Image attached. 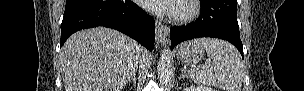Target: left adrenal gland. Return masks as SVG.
I'll return each mask as SVG.
<instances>
[{
    "mask_svg": "<svg viewBox=\"0 0 304 91\" xmlns=\"http://www.w3.org/2000/svg\"><path fill=\"white\" fill-rule=\"evenodd\" d=\"M184 78H188V76L186 75V71L183 69L180 75V79H184Z\"/></svg>",
    "mask_w": 304,
    "mask_h": 91,
    "instance_id": "1",
    "label": "left adrenal gland"
}]
</instances>
